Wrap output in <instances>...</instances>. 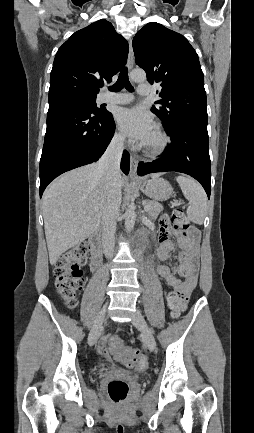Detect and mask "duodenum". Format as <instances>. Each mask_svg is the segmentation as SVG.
Segmentation results:
<instances>
[{
  "label": "duodenum",
  "instance_id": "obj_1",
  "mask_svg": "<svg viewBox=\"0 0 254 433\" xmlns=\"http://www.w3.org/2000/svg\"><path fill=\"white\" fill-rule=\"evenodd\" d=\"M89 243L92 252V268L93 270H96L100 264L102 256L101 237L99 232H95L89 237Z\"/></svg>",
  "mask_w": 254,
  "mask_h": 433
}]
</instances>
